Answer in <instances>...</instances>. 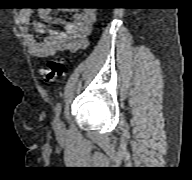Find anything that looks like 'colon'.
Returning <instances> with one entry per match:
<instances>
[{"instance_id":"obj_1","label":"colon","mask_w":192,"mask_h":180,"mask_svg":"<svg viewBox=\"0 0 192 180\" xmlns=\"http://www.w3.org/2000/svg\"><path fill=\"white\" fill-rule=\"evenodd\" d=\"M64 64L59 59L48 61L43 68L44 79L48 83L58 81L64 74Z\"/></svg>"}]
</instances>
